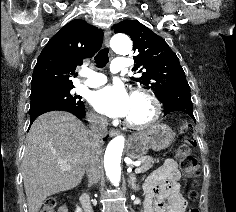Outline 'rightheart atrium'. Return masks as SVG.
<instances>
[{"instance_id": "1", "label": "right heart atrium", "mask_w": 236, "mask_h": 212, "mask_svg": "<svg viewBox=\"0 0 236 212\" xmlns=\"http://www.w3.org/2000/svg\"><path fill=\"white\" fill-rule=\"evenodd\" d=\"M88 118L91 122L96 123V124H101L104 122V119L93 111L89 113Z\"/></svg>"}]
</instances>
